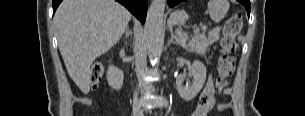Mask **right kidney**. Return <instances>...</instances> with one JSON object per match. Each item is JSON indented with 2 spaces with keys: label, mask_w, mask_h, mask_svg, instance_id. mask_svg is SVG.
<instances>
[{
  "label": "right kidney",
  "mask_w": 305,
  "mask_h": 116,
  "mask_svg": "<svg viewBox=\"0 0 305 116\" xmlns=\"http://www.w3.org/2000/svg\"><path fill=\"white\" fill-rule=\"evenodd\" d=\"M106 76L108 84L111 88L115 90L121 89L123 85L124 74L120 69L113 65H109Z\"/></svg>",
  "instance_id": "ca27d5eb"
}]
</instances>
